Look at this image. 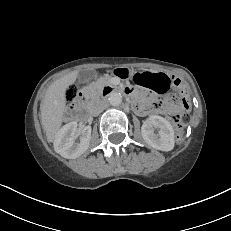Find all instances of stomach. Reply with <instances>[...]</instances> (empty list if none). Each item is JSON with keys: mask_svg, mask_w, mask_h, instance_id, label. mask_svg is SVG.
Segmentation results:
<instances>
[{"mask_svg": "<svg viewBox=\"0 0 231 231\" xmlns=\"http://www.w3.org/2000/svg\"><path fill=\"white\" fill-rule=\"evenodd\" d=\"M115 73L122 78H126L133 75V71L129 68H117Z\"/></svg>", "mask_w": 231, "mask_h": 231, "instance_id": "0dacf381", "label": "stomach"}]
</instances>
